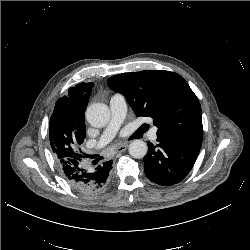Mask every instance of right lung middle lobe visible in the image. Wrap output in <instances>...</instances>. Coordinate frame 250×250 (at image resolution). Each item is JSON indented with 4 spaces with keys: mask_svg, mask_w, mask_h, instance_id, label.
<instances>
[{
    "mask_svg": "<svg viewBox=\"0 0 250 250\" xmlns=\"http://www.w3.org/2000/svg\"><path fill=\"white\" fill-rule=\"evenodd\" d=\"M85 134V131H82L76 133L74 137H67L58 132L49 131L50 145L56 160H80L82 155L78 154L77 147L83 143Z\"/></svg>",
    "mask_w": 250,
    "mask_h": 250,
    "instance_id": "dd1d6c3e",
    "label": "right lung middle lobe"
}]
</instances>
